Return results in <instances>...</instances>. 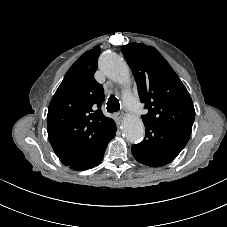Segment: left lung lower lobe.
<instances>
[{
	"instance_id": "left-lung-lower-lobe-1",
	"label": "left lung lower lobe",
	"mask_w": 227,
	"mask_h": 227,
	"mask_svg": "<svg viewBox=\"0 0 227 227\" xmlns=\"http://www.w3.org/2000/svg\"><path fill=\"white\" fill-rule=\"evenodd\" d=\"M145 138L132 145L134 158L147 166L160 167L173 161L188 140L168 130L145 124Z\"/></svg>"
}]
</instances>
